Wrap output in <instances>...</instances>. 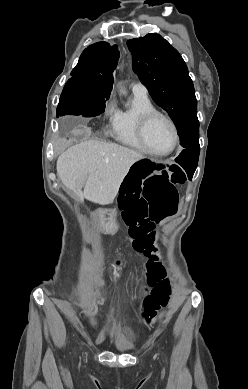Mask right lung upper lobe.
Listing matches in <instances>:
<instances>
[{
	"label": "right lung upper lobe",
	"mask_w": 248,
	"mask_h": 389,
	"mask_svg": "<svg viewBox=\"0 0 248 389\" xmlns=\"http://www.w3.org/2000/svg\"><path fill=\"white\" fill-rule=\"evenodd\" d=\"M119 57L117 45L111 46L107 42H97L83 51L71 75L83 78L88 86L112 90V73Z\"/></svg>",
	"instance_id": "right-lung-upper-lobe-1"
}]
</instances>
